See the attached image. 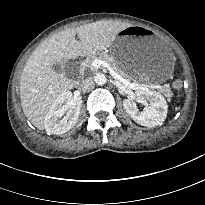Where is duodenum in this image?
Listing matches in <instances>:
<instances>
[{
  "instance_id": "1",
  "label": "duodenum",
  "mask_w": 205,
  "mask_h": 205,
  "mask_svg": "<svg viewBox=\"0 0 205 205\" xmlns=\"http://www.w3.org/2000/svg\"><path fill=\"white\" fill-rule=\"evenodd\" d=\"M74 65L76 66V69H77L78 78H80L81 77V65L77 61L74 62Z\"/></svg>"
}]
</instances>
